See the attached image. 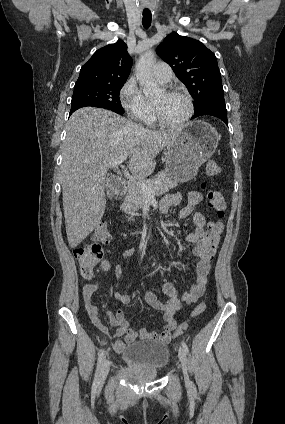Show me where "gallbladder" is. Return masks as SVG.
Listing matches in <instances>:
<instances>
[{
  "label": "gallbladder",
  "instance_id": "obj_1",
  "mask_svg": "<svg viewBox=\"0 0 285 424\" xmlns=\"http://www.w3.org/2000/svg\"><path fill=\"white\" fill-rule=\"evenodd\" d=\"M106 184H107V181H106V180H104V181H103V185H106Z\"/></svg>",
  "mask_w": 285,
  "mask_h": 424
}]
</instances>
